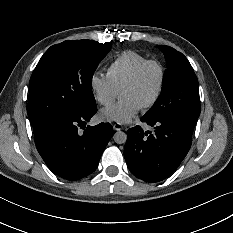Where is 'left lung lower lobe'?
Segmentation results:
<instances>
[{
    "instance_id": "1",
    "label": "left lung lower lobe",
    "mask_w": 233,
    "mask_h": 233,
    "mask_svg": "<svg viewBox=\"0 0 233 233\" xmlns=\"http://www.w3.org/2000/svg\"><path fill=\"white\" fill-rule=\"evenodd\" d=\"M142 122L155 131L144 132L140 126L130 128L124 157L130 172L146 182H158L169 177L187 155L193 129L197 123L190 119H160Z\"/></svg>"
}]
</instances>
